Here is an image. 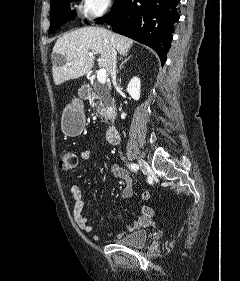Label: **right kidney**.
Listing matches in <instances>:
<instances>
[{"label": "right kidney", "instance_id": "obj_1", "mask_svg": "<svg viewBox=\"0 0 240 281\" xmlns=\"http://www.w3.org/2000/svg\"><path fill=\"white\" fill-rule=\"evenodd\" d=\"M140 79L138 77H133L127 87V92L136 101L140 98Z\"/></svg>", "mask_w": 240, "mask_h": 281}]
</instances>
